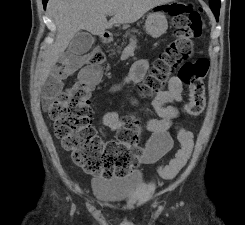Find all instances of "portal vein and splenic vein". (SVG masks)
Listing matches in <instances>:
<instances>
[{"label":"portal vein and splenic vein","instance_id":"obj_1","mask_svg":"<svg viewBox=\"0 0 245 225\" xmlns=\"http://www.w3.org/2000/svg\"><path fill=\"white\" fill-rule=\"evenodd\" d=\"M108 15H109V16H113L114 13H113V12H110ZM130 41H131L132 43H136V39H135L134 37H132Z\"/></svg>","mask_w":245,"mask_h":225}]
</instances>
